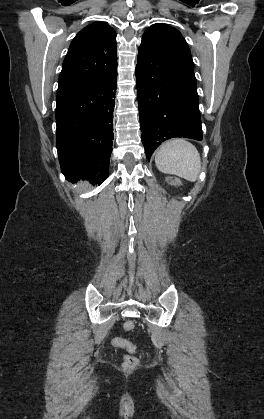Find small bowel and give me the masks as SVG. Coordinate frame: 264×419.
<instances>
[{
    "instance_id": "small-bowel-1",
    "label": "small bowel",
    "mask_w": 264,
    "mask_h": 419,
    "mask_svg": "<svg viewBox=\"0 0 264 419\" xmlns=\"http://www.w3.org/2000/svg\"><path fill=\"white\" fill-rule=\"evenodd\" d=\"M115 340H116V338L113 340V344H114Z\"/></svg>"
}]
</instances>
